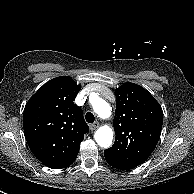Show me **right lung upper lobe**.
I'll return each mask as SVG.
<instances>
[{"label":"right lung upper lobe","instance_id":"cb5924a9","mask_svg":"<svg viewBox=\"0 0 194 194\" xmlns=\"http://www.w3.org/2000/svg\"><path fill=\"white\" fill-rule=\"evenodd\" d=\"M81 85L69 76L45 83L27 102L23 126L26 141L38 160L52 169L70 166L89 127L74 99Z\"/></svg>","mask_w":194,"mask_h":194}]
</instances>
